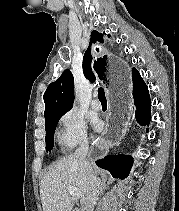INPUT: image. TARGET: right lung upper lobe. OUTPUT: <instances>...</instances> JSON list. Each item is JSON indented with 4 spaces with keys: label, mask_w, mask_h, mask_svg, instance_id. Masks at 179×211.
I'll return each instance as SVG.
<instances>
[{
    "label": "right lung upper lobe",
    "mask_w": 179,
    "mask_h": 211,
    "mask_svg": "<svg viewBox=\"0 0 179 211\" xmlns=\"http://www.w3.org/2000/svg\"><path fill=\"white\" fill-rule=\"evenodd\" d=\"M103 43L102 34L93 31L91 33L90 44ZM83 72L90 82L95 81V75L103 81H109V66L106 56L99 57L92 62L90 47L86 50L83 57ZM95 73V74H94ZM45 103V122L49 119L64 115L72 108L74 101V79L70 70H65L55 82H52L43 96Z\"/></svg>",
    "instance_id": "right-lung-upper-lobe-1"
}]
</instances>
